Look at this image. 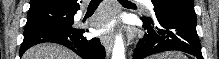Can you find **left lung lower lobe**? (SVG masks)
Returning a JSON list of instances; mask_svg holds the SVG:
<instances>
[{"instance_id":"left-lung-lower-lobe-1","label":"left lung lower lobe","mask_w":219,"mask_h":59,"mask_svg":"<svg viewBox=\"0 0 219 59\" xmlns=\"http://www.w3.org/2000/svg\"><path fill=\"white\" fill-rule=\"evenodd\" d=\"M142 20L145 34L136 46L133 59H144L164 51H182L203 59L193 3L173 11L158 12L154 20Z\"/></svg>"}]
</instances>
